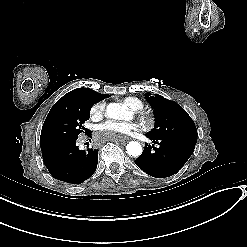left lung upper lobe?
<instances>
[{
    "instance_id": "left-lung-upper-lobe-1",
    "label": "left lung upper lobe",
    "mask_w": 247,
    "mask_h": 247,
    "mask_svg": "<svg viewBox=\"0 0 247 247\" xmlns=\"http://www.w3.org/2000/svg\"><path fill=\"white\" fill-rule=\"evenodd\" d=\"M154 110L155 127L146 134L148 138L185 141L196 144L197 130L188 113L176 102L161 95L145 94Z\"/></svg>"
}]
</instances>
